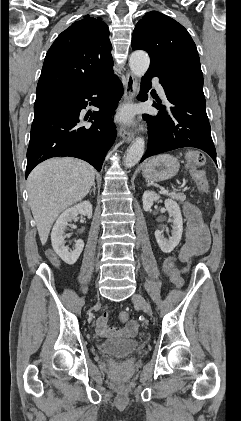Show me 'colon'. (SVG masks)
Wrapping results in <instances>:
<instances>
[{
  "mask_svg": "<svg viewBox=\"0 0 241 421\" xmlns=\"http://www.w3.org/2000/svg\"><path fill=\"white\" fill-rule=\"evenodd\" d=\"M52 2L53 0H47ZM205 158L204 155L199 151H190L186 156L187 166L191 170V175L201 192H206L208 190V182L205 173L200 169L204 164ZM165 270L170 276L171 281L177 287H181L183 284L182 278V269H179L175 265V258L171 257L165 261ZM120 320L123 323L130 321L129 314L127 312H121L119 315Z\"/></svg>",
  "mask_w": 241,
  "mask_h": 421,
  "instance_id": "1",
  "label": "colon"
}]
</instances>
